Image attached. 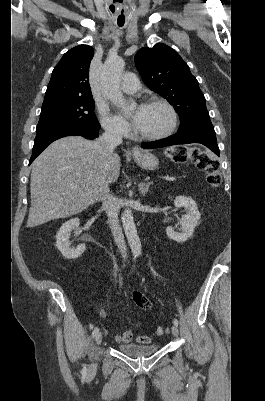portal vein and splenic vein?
Returning <instances> with one entry per match:
<instances>
[{"label":"portal vein and splenic vein","mask_w":265,"mask_h":401,"mask_svg":"<svg viewBox=\"0 0 265 401\" xmlns=\"http://www.w3.org/2000/svg\"><path fill=\"white\" fill-rule=\"evenodd\" d=\"M161 180H164V181H175V180H178V177H175V176H164V177H161ZM73 188H76V186H73Z\"/></svg>","instance_id":"obj_1"}]
</instances>
